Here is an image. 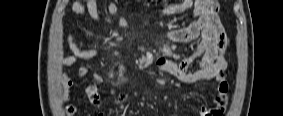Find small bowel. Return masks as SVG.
<instances>
[{
	"instance_id": "obj_1",
	"label": "small bowel",
	"mask_w": 283,
	"mask_h": 116,
	"mask_svg": "<svg viewBox=\"0 0 283 116\" xmlns=\"http://www.w3.org/2000/svg\"><path fill=\"white\" fill-rule=\"evenodd\" d=\"M188 1H179L178 3L167 7L163 14L170 16L182 11ZM192 5L193 16L195 20L187 27L182 29L171 30L168 32L170 40L175 42H190L198 40V44L193 53L181 62H174L167 58H158L156 65L166 74H169L176 80L183 83H196L200 81L216 80L217 93L214 97V107L209 108L205 105L201 106L198 112L199 116H219L216 111L227 103L229 84L226 79L225 70L227 61L224 53L227 47V37L223 25L217 14V2L213 0H195L190 3ZM73 12L81 19L90 23H96L99 18L98 1L89 0L86 5L80 2H73ZM118 13V6L111 2L107 6V14L114 16ZM67 44L70 54L65 55L61 59V63L65 67L76 65L80 61L89 60L98 54L96 48L80 49L74 41L72 35H68ZM151 57L146 56L143 65H148ZM196 63L195 70L190 71L192 64ZM87 66L82 65L77 75H83L87 72ZM74 82L72 79L66 81V86L72 88ZM84 93L90 103L95 107H100L103 101L94 84L85 86ZM136 94L127 93L119 96L115 100L117 106H123L129 103ZM78 111V106L69 105L66 108V115L72 116ZM102 116L103 114H99Z\"/></svg>"
}]
</instances>
